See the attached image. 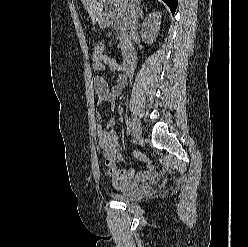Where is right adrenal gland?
Here are the masks:
<instances>
[{
  "label": "right adrenal gland",
  "mask_w": 248,
  "mask_h": 247,
  "mask_svg": "<svg viewBox=\"0 0 248 247\" xmlns=\"http://www.w3.org/2000/svg\"><path fill=\"white\" fill-rule=\"evenodd\" d=\"M143 6L140 5V3L137 4L136 10H137V21L139 19H142L144 16L143 10H142Z\"/></svg>",
  "instance_id": "2a0ac1e0"
}]
</instances>
